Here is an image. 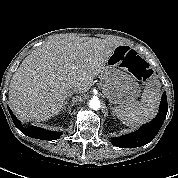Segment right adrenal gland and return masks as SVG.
I'll use <instances>...</instances> for the list:
<instances>
[{
  "instance_id": "2a0ac1e0",
  "label": "right adrenal gland",
  "mask_w": 178,
  "mask_h": 178,
  "mask_svg": "<svg viewBox=\"0 0 178 178\" xmlns=\"http://www.w3.org/2000/svg\"><path fill=\"white\" fill-rule=\"evenodd\" d=\"M68 101H69V98H68V100L66 101V103H65V105H64V107H63L62 110H65V109H66V105L68 104Z\"/></svg>"
}]
</instances>
